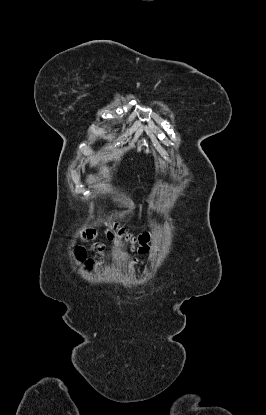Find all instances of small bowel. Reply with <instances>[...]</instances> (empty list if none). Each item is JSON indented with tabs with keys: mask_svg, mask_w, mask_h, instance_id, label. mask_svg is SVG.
<instances>
[{
	"mask_svg": "<svg viewBox=\"0 0 266 415\" xmlns=\"http://www.w3.org/2000/svg\"><path fill=\"white\" fill-rule=\"evenodd\" d=\"M94 247L99 251L102 252L104 250V247L101 244H95Z\"/></svg>",
	"mask_w": 266,
	"mask_h": 415,
	"instance_id": "1",
	"label": "small bowel"
}]
</instances>
